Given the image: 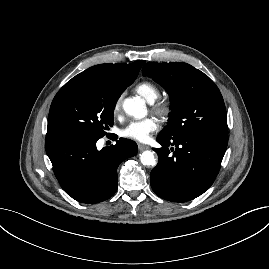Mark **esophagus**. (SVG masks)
Returning a JSON list of instances; mask_svg holds the SVG:
<instances>
[{
    "instance_id": "obj_1",
    "label": "esophagus",
    "mask_w": 269,
    "mask_h": 269,
    "mask_svg": "<svg viewBox=\"0 0 269 269\" xmlns=\"http://www.w3.org/2000/svg\"><path fill=\"white\" fill-rule=\"evenodd\" d=\"M138 149L140 150V151H142V150H146V149H149V146L148 145H144V144H138Z\"/></svg>"
}]
</instances>
